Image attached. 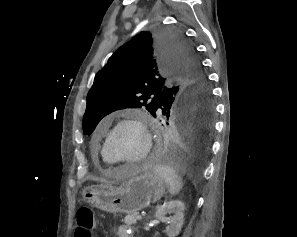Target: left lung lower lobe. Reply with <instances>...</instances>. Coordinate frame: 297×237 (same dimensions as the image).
I'll return each instance as SVG.
<instances>
[{"label": "left lung lower lobe", "mask_w": 297, "mask_h": 237, "mask_svg": "<svg viewBox=\"0 0 297 237\" xmlns=\"http://www.w3.org/2000/svg\"><path fill=\"white\" fill-rule=\"evenodd\" d=\"M163 115L170 118V122H167L155 157L174 166H200L208 154L213 132L212 100L192 105L170 101Z\"/></svg>", "instance_id": "1"}]
</instances>
